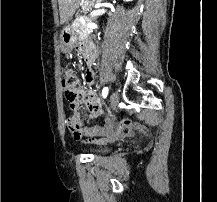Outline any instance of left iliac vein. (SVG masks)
Here are the masks:
<instances>
[{"label":"left iliac vein","instance_id":"4c4485c4","mask_svg":"<svg viewBox=\"0 0 217 202\" xmlns=\"http://www.w3.org/2000/svg\"><path fill=\"white\" fill-rule=\"evenodd\" d=\"M110 103H111V108L113 110H117L118 108V103H119V95L118 92L114 91L112 92L110 96Z\"/></svg>","mask_w":217,"mask_h":202}]
</instances>
